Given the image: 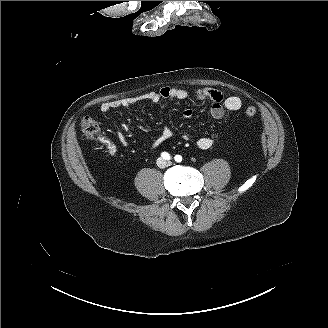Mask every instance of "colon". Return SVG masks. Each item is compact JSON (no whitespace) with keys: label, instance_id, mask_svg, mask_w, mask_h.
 Masks as SVG:
<instances>
[{"label":"colon","instance_id":"1","mask_svg":"<svg viewBox=\"0 0 328 328\" xmlns=\"http://www.w3.org/2000/svg\"><path fill=\"white\" fill-rule=\"evenodd\" d=\"M257 113V110L253 106H249L245 109V114L248 117H254ZM81 131L83 135L88 139H94L99 133V125L97 121L89 116H85L80 123Z\"/></svg>","mask_w":328,"mask_h":328}]
</instances>
